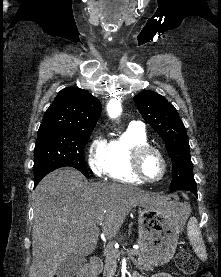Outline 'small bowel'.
Masks as SVG:
<instances>
[{
	"instance_id": "small-bowel-1",
	"label": "small bowel",
	"mask_w": 221,
	"mask_h": 277,
	"mask_svg": "<svg viewBox=\"0 0 221 277\" xmlns=\"http://www.w3.org/2000/svg\"><path fill=\"white\" fill-rule=\"evenodd\" d=\"M153 277H175V276H173L172 274H169V273H158Z\"/></svg>"
}]
</instances>
